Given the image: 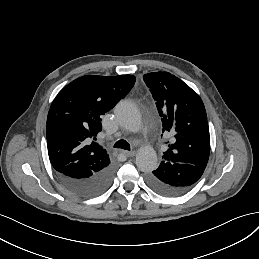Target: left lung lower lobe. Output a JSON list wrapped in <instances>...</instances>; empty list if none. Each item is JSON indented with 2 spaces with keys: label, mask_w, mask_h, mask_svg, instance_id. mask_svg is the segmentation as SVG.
Instances as JSON below:
<instances>
[{
  "label": "left lung lower lobe",
  "mask_w": 259,
  "mask_h": 259,
  "mask_svg": "<svg viewBox=\"0 0 259 259\" xmlns=\"http://www.w3.org/2000/svg\"><path fill=\"white\" fill-rule=\"evenodd\" d=\"M204 169L192 164L162 161L147 175L148 186L158 194L176 197L188 192L200 179Z\"/></svg>",
  "instance_id": "left-lung-lower-lobe-1"
}]
</instances>
